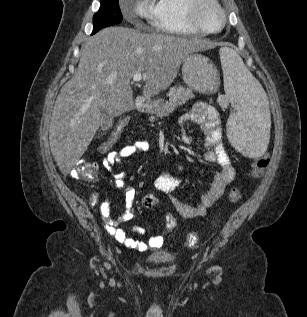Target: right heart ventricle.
I'll return each mask as SVG.
<instances>
[{
  "mask_svg": "<svg viewBox=\"0 0 307 317\" xmlns=\"http://www.w3.org/2000/svg\"><path fill=\"white\" fill-rule=\"evenodd\" d=\"M189 4L190 0H155L153 27L166 33L201 35L189 20Z\"/></svg>",
  "mask_w": 307,
  "mask_h": 317,
  "instance_id": "obj_1",
  "label": "right heart ventricle"
}]
</instances>
